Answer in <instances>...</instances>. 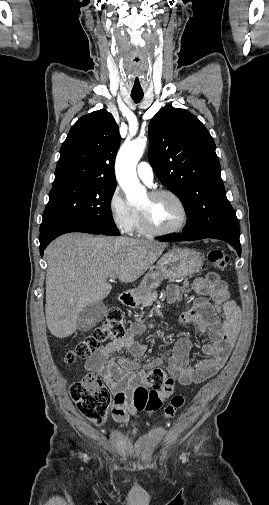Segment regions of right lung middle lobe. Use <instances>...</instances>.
<instances>
[{"mask_svg": "<svg viewBox=\"0 0 269 505\" xmlns=\"http://www.w3.org/2000/svg\"><path fill=\"white\" fill-rule=\"evenodd\" d=\"M115 187L112 183H71L52 187L40 231L53 224L69 223L104 235H119L110 210Z\"/></svg>", "mask_w": 269, "mask_h": 505, "instance_id": "1", "label": "right lung middle lobe"}]
</instances>
